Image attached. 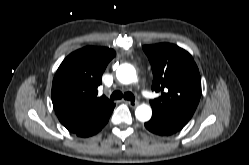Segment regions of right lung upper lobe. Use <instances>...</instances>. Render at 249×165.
Masks as SVG:
<instances>
[{"label": "right lung upper lobe", "mask_w": 249, "mask_h": 165, "mask_svg": "<svg viewBox=\"0 0 249 165\" xmlns=\"http://www.w3.org/2000/svg\"><path fill=\"white\" fill-rule=\"evenodd\" d=\"M113 49L87 46L67 56L52 84V103L59 121L71 132L87 129L108 115L115 104L97 97L102 74Z\"/></svg>", "instance_id": "cb5924a9"}]
</instances>
